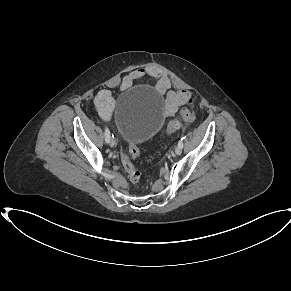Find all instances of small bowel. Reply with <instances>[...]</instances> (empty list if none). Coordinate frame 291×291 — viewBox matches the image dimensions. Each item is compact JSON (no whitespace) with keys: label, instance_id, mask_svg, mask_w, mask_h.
<instances>
[{"label":"small bowel","instance_id":"c3829d8e","mask_svg":"<svg viewBox=\"0 0 291 291\" xmlns=\"http://www.w3.org/2000/svg\"><path fill=\"white\" fill-rule=\"evenodd\" d=\"M147 76L156 81L155 89L158 94H166L164 108L166 117L172 116L179 106L186 103L191 98V94L187 90L168 91L171 85L169 78L154 66L139 68L126 74L122 78L120 89H128L135 81ZM94 104L99 117L105 122L109 121L114 109V99L111 92L107 89L100 90L95 96Z\"/></svg>","mask_w":291,"mask_h":291}]
</instances>
